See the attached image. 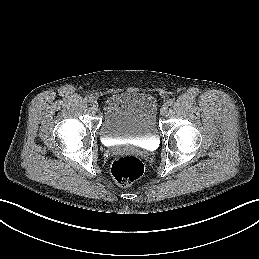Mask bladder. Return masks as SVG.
I'll use <instances>...</instances> for the list:
<instances>
[{"instance_id":"bladder-1","label":"bladder","mask_w":259,"mask_h":259,"mask_svg":"<svg viewBox=\"0 0 259 259\" xmlns=\"http://www.w3.org/2000/svg\"><path fill=\"white\" fill-rule=\"evenodd\" d=\"M157 102L147 93L121 92L109 95L102 107L99 135L102 141L147 143L158 138Z\"/></svg>"}]
</instances>
